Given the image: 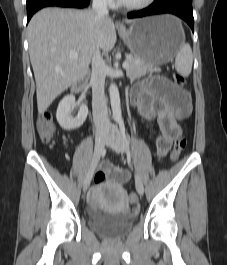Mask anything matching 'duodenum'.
I'll return each mask as SVG.
<instances>
[{"mask_svg":"<svg viewBox=\"0 0 227 265\" xmlns=\"http://www.w3.org/2000/svg\"><path fill=\"white\" fill-rule=\"evenodd\" d=\"M85 85V81L83 78H80L74 82L72 85V91L76 94H79L83 91Z\"/></svg>","mask_w":227,"mask_h":265,"instance_id":"obj_1","label":"duodenum"}]
</instances>
